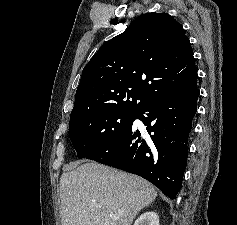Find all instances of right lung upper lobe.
Instances as JSON below:
<instances>
[{
    "label": "right lung upper lobe",
    "mask_w": 237,
    "mask_h": 225,
    "mask_svg": "<svg viewBox=\"0 0 237 225\" xmlns=\"http://www.w3.org/2000/svg\"><path fill=\"white\" fill-rule=\"evenodd\" d=\"M182 26L167 13L139 16L84 67L70 124L107 112H136L158 93L197 84Z\"/></svg>",
    "instance_id": "cb5924a9"
}]
</instances>
